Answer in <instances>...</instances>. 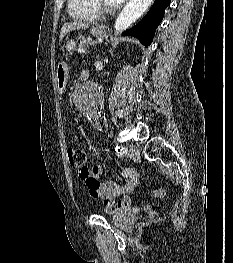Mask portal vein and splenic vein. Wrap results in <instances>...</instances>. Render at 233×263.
Returning <instances> with one entry per match:
<instances>
[{
	"label": "portal vein and splenic vein",
	"mask_w": 233,
	"mask_h": 263,
	"mask_svg": "<svg viewBox=\"0 0 233 263\" xmlns=\"http://www.w3.org/2000/svg\"><path fill=\"white\" fill-rule=\"evenodd\" d=\"M78 52H80V53H84L85 50H84L83 48H79V49H78Z\"/></svg>",
	"instance_id": "18ae733b"
}]
</instances>
